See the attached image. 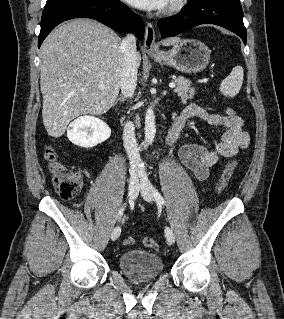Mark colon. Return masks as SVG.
Masks as SVG:
<instances>
[{"label": "colon", "mask_w": 284, "mask_h": 319, "mask_svg": "<svg viewBox=\"0 0 284 319\" xmlns=\"http://www.w3.org/2000/svg\"><path fill=\"white\" fill-rule=\"evenodd\" d=\"M227 116H236V112L232 108L226 109ZM45 158L48 161L49 170L52 175L53 185L57 194L64 200H70L75 198L82 190L83 178L79 172H67L65 167L58 162L56 152L53 147L48 146L45 148ZM236 162L230 161L223 169L220 178L217 183V192L221 193L225 190L228 182L235 170ZM134 238L129 237L124 240L125 245H132ZM145 247L157 251L159 249L158 243L150 238L145 237L143 239Z\"/></svg>", "instance_id": "1"}]
</instances>
